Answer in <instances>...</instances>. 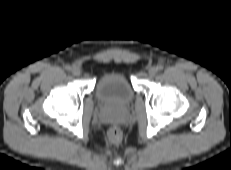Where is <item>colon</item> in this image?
Segmentation results:
<instances>
[{"instance_id":"5ec220e1","label":"colon","mask_w":231,"mask_h":170,"mask_svg":"<svg viewBox=\"0 0 231 170\" xmlns=\"http://www.w3.org/2000/svg\"><path fill=\"white\" fill-rule=\"evenodd\" d=\"M108 138L112 143L120 142L122 138L121 130L117 127H113L108 132Z\"/></svg>"}]
</instances>
